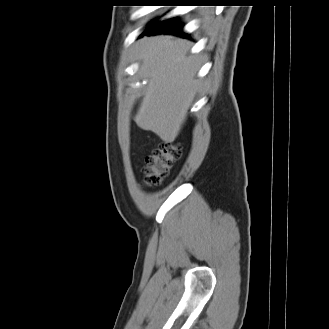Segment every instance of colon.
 Instances as JSON below:
<instances>
[{
    "label": "colon",
    "mask_w": 329,
    "mask_h": 329,
    "mask_svg": "<svg viewBox=\"0 0 329 329\" xmlns=\"http://www.w3.org/2000/svg\"><path fill=\"white\" fill-rule=\"evenodd\" d=\"M182 147L171 141L162 142L146 158L144 184L157 186L169 175L173 164L181 158Z\"/></svg>",
    "instance_id": "obj_1"
}]
</instances>
